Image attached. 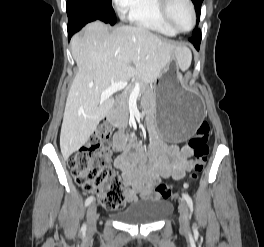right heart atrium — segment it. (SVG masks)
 <instances>
[{
  "label": "right heart atrium",
  "mask_w": 264,
  "mask_h": 247,
  "mask_svg": "<svg viewBox=\"0 0 264 247\" xmlns=\"http://www.w3.org/2000/svg\"><path fill=\"white\" fill-rule=\"evenodd\" d=\"M135 0H113L120 16L124 17L133 6Z\"/></svg>",
  "instance_id": "1"
}]
</instances>
